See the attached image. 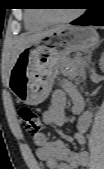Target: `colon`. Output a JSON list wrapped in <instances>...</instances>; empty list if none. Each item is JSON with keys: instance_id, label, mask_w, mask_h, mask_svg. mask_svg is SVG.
Returning a JSON list of instances; mask_svg holds the SVG:
<instances>
[{"instance_id": "colon-1", "label": "colon", "mask_w": 104, "mask_h": 169, "mask_svg": "<svg viewBox=\"0 0 104 169\" xmlns=\"http://www.w3.org/2000/svg\"><path fill=\"white\" fill-rule=\"evenodd\" d=\"M18 115L28 135L35 137L40 134L43 122L38 112L29 107H21Z\"/></svg>"}]
</instances>
